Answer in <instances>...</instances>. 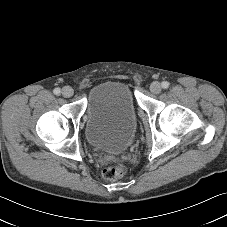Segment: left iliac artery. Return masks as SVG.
<instances>
[{
    "mask_svg": "<svg viewBox=\"0 0 227 227\" xmlns=\"http://www.w3.org/2000/svg\"><path fill=\"white\" fill-rule=\"evenodd\" d=\"M161 85L164 89H167L169 87V83L167 81H163Z\"/></svg>",
    "mask_w": 227,
    "mask_h": 227,
    "instance_id": "left-iliac-artery-1",
    "label": "left iliac artery"
}]
</instances>
